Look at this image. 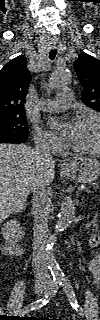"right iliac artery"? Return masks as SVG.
I'll return each mask as SVG.
<instances>
[{"label": "right iliac artery", "instance_id": "82829eb1", "mask_svg": "<svg viewBox=\"0 0 100 320\" xmlns=\"http://www.w3.org/2000/svg\"><path fill=\"white\" fill-rule=\"evenodd\" d=\"M61 286V281L56 280L53 282V286L51 288V290H49L47 293H45V295L43 296V298L31 303L30 305L24 307L22 309V311L20 312L21 315H24L32 310H38L41 307H43L44 305H46L49 300L56 294L57 290L59 289V287Z\"/></svg>", "mask_w": 100, "mask_h": 320}]
</instances>
